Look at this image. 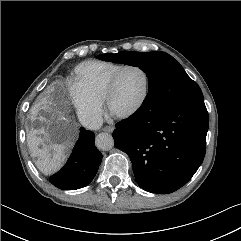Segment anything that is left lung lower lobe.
Returning a JSON list of instances; mask_svg holds the SVG:
<instances>
[{"label":"left lung lower lobe","instance_id":"0a47b994","mask_svg":"<svg viewBox=\"0 0 241 241\" xmlns=\"http://www.w3.org/2000/svg\"><path fill=\"white\" fill-rule=\"evenodd\" d=\"M208 124L203 98L170 102L155 88L134 115L116 124L113 138L129 155L138 185L168 194L185 185L203 162Z\"/></svg>","mask_w":241,"mask_h":241}]
</instances>
